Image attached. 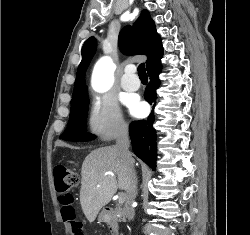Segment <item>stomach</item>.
Listing matches in <instances>:
<instances>
[{
    "instance_id": "stomach-1",
    "label": "stomach",
    "mask_w": 250,
    "mask_h": 235,
    "mask_svg": "<svg viewBox=\"0 0 250 235\" xmlns=\"http://www.w3.org/2000/svg\"><path fill=\"white\" fill-rule=\"evenodd\" d=\"M99 220H101V221L105 220V217L103 214L100 215Z\"/></svg>"
}]
</instances>
